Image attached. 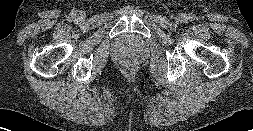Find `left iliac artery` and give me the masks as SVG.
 Wrapping results in <instances>:
<instances>
[{
  "label": "left iliac artery",
  "instance_id": "44dca946",
  "mask_svg": "<svg viewBox=\"0 0 253 131\" xmlns=\"http://www.w3.org/2000/svg\"><path fill=\"white\" fill-rule=\"evenodd\" d=\"M188 20L194 21L195 20V15L194 14H189Z\"/></svg>",
  "mask_w": 253,
  "mask_h": 131
}]
</instances>
